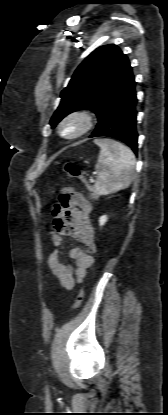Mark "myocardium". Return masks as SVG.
Here are the masks:
<instances>
[{"instance_id": "myocardium-1", "label": "myocardium", "mask_w": 168, "mask_h": 415, "mask_svg": "<svg viewBox=\"0 0 168 415\" xmlns=\"http://www.w3.org/2000/svg\"><path fill=\"white\" fill-rule=\"evenodd\" d=\"M78 120L80 122V128L73 134L66 135L63 132V126L70 120ZM95 124V115L88 109H76L68 112L62 117L58 124L59 135L67 140L78 139L87 134Z\"/></svg>"}]
</instances>
